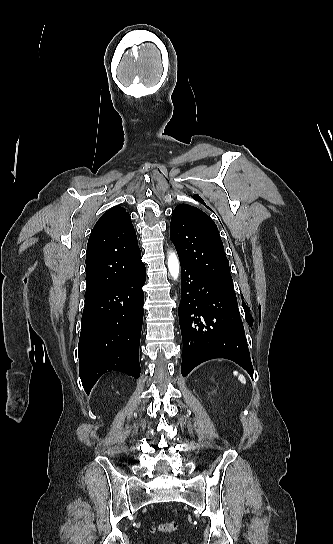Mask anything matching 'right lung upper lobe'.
<instances>
[{
    "mask_svg": "<svg viewBox=\"0 0 333 544\" xmlns=\"http://www.w3.org/2000/svg\"><path fill=\"white\" fill-rule=\"evenodd\" d=\"M142 263L130 214L120 206L97 221L87 244L85 299L103 293Z\"/></svg>",
    "mask_w": 333,
    "mask_h": 544,
    "instance_id": "right-lung-upper-lobe-1",
    "label": "right lung upper lobe"
}]
</instances>
